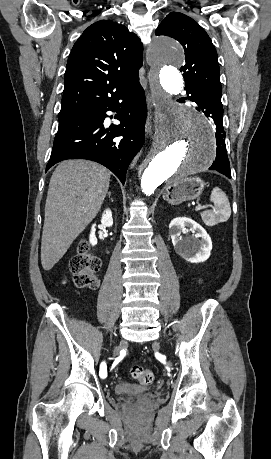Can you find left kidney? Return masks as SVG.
<instances>
[{
  "mask_svg": "<svg viewBox=\"0 0 271 459\" xmlns=\"http://www.w3.org/2000/svg\"><path fill=\"white\" fill-rule=\"evenodd\" d=\"M186 228L195 229V235L191 237L190 241L183 239L181 235L182 229ZM169 233L175 251L179 255H183L187 261L198 263V261L208 259L212 249V241L210 235L200 224H197L191 218H174L169 224ZM198 237H201V239H198Z\"/></svg>",
  "mask_w": 271,
  "mask_h": 459,
  "instance_id": "5707ae66",
  "label": "left kidney"
}]
</instances>
